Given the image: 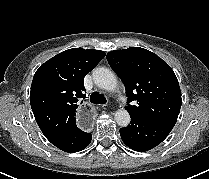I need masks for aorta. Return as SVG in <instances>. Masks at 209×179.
<instances>
[{
	"instance_id": "aorta-1",
	"label": "aorta",
	"mask_w": 209,
	"mask_h": 179,
	"mask_svg": "<svg viewBox=\"0 0 209 179\" xmlns=\"http://www.w3.org/2000/svg\"><path fill=\"white\" fill-rule=\"evenodd\" d=\"M93 80L94 83L102 89L107 91H114L117 88V79L114 73L104 67L96 68L93 71ZM115 121L121 127H126L130 123V115L127 110L119 109L115 112L114 115Z\"/></svg>"
}]
</instances>
